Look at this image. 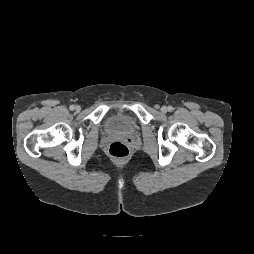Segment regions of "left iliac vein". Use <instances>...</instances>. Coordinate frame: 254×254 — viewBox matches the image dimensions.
Segmentation results:
<instances>
[{
	"mask_svg": "<svg viewBox=\"0 0 254 254\" xmlns=\"http://www.w3.org/2000/svg\"><path fill=\"white\" fill-rule=\"evenodd\" d=\"M161 111H162L163 113H166V112H167V108H166L165 106H163V107L161 108Z\"/></svg>",
	"mask_w": 254,
	"mask_h": 254,
	"instance_id": "4c4485c4",
	"label": "left iliac vein"
}]
</instances>
